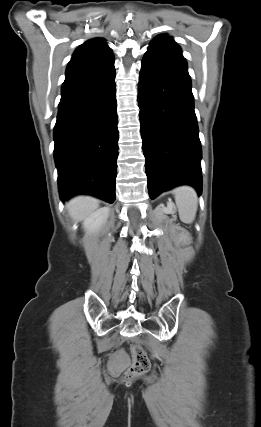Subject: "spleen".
Returning <instances> with one entry per match:
<instances>
[{"label": "spleen", "instance_id": "spleen-1", "mask_svg": "<svg viewBox=\"0 0 261 427\" xmlns=\"http://www.w3.org/2000/svg\"><path fill=\"white\" fill-rule=\"evenodd\" d=\"M174 196L180 220L183 223L191 224L198 208L196 191L190 186H181L174 190Z\"/></svg>", "mask_w": 261, "mask_h": 427}]
</instances>
